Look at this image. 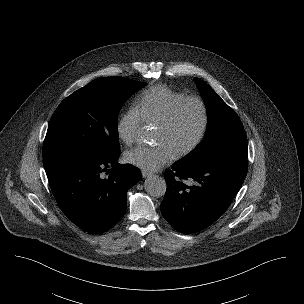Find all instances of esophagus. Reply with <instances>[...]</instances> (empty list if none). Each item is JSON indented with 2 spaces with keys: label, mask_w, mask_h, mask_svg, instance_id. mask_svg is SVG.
I'll return each mask as SVG.
<instances>
[{
  "label": "esophagus",
  "mask_w": 304,
  "mask_h": 304,
  "mask_svg": "<svg viewBox=\"0 0 304 304\" xmlns=\"http://www.w3.org/2000/svg\"><path fill=\"white\" fill-rule=\"evenodd\" d=\"M141 173H142L143 178H148V177L152 176V173H150L148 171H142Z\"/></svg>",
  "instance_id": "esophagus-1"
}]
</instances>
